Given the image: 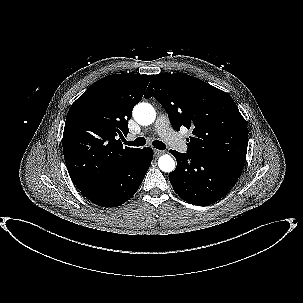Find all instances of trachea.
<instances>
[{
  "mask_svg": "<svg viewBox=\"0 0 303 303\" xmlns=\"http://www.w3.org/2000/svg\"><path fill=\"white\" fill-rule=\"evenodd\" d=\"M145 143H146V140L144 137H138L134 141H125V144H127L129 146H137V147L143 146V145H145ZM152 144L156 149H159V150H164L166 148V145L159 140L153 141Z\"/></svg>",
  "mask_w": 303,
  "mask_h": 303,
  "instance_id": "trachea-1",
  "label": "trachea"
}]
</instances>
